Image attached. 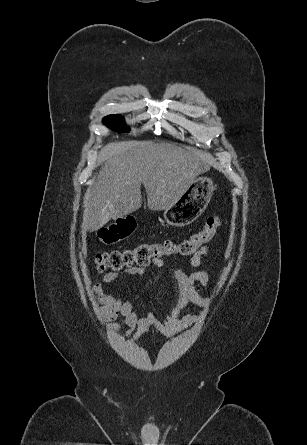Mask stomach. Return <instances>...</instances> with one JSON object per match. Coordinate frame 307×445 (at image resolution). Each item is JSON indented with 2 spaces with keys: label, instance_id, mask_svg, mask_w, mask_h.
Listing matches in <instances>:
<instances>
[{
  "label": "stomach",
  "instance_id": "1",
  "mask_svg": "<svg viewBox=\"0 0 307 445\" xmlns=\"http://www.w3.org/2000/svg\"><path fill=\"white\" fill-rule=\"evenodd\" d=\"M215 190L214 182L208 176H198L175 202L164 208L163 216L172 227H186L196 220L208 206Z\"/></svg>",
  "mask_w": 307,
  "mask_h": 445
}]
</instances>
